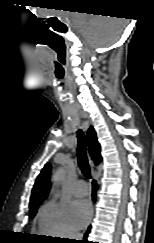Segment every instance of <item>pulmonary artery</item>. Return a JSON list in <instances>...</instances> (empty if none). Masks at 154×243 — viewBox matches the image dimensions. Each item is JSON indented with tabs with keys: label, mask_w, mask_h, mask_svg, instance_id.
<instances>
[{
	"label": "pulmonary artery",
	"mask_w": 154,
	"mask_h": 243,
	"mask_svg": "<svg viewBox=\"0 0 154 243\" xmlns=\"http://www.w3.org/2000/svg\"><path fill=\"white\" fill-rule=\"evenodd\" d=\"M89 188L85 181L78 180L73 188V194L75 196H84L88 193Z\"/></svg>",
	"instance_id": "pulmonary-artery-1"
}]
</instances>
